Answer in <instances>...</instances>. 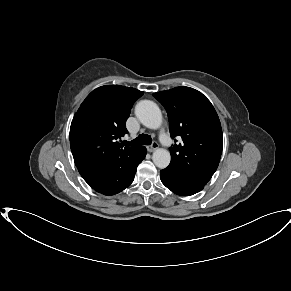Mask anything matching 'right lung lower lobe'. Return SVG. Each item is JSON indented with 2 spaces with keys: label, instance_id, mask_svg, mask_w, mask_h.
I'll use <instances>...</instances> for the list:
<instances>
[{
  "label": "right lung lower lobe",
  "instance_id": "right-lung-lower-lobe-1",
  "mask_svg": "<svg viewBox=\"0 0 291 291\" xmlns=\"http://www.w3.org/2000/svg\"><path fill=\"white\" fill-rule=\"evenodd\" d=\"M146 152V148L141 147L137 153L116 167L78 168V171L95 191L104 195H114L133 182L137 166L145 158Z\"/></svg>",
  "mask_w": 291,
  "mask_h": 291
}]
</instances>
